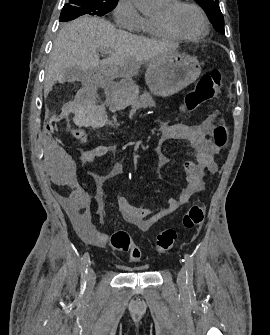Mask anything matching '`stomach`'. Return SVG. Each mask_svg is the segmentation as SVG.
<instances>
[{"mask_svg":"<svg viewBox=\"0 0 270 335\" xmlns=\"http://www.w3.org/2000/svg\"><path fill=\"white\" fill-rule=\"evenodd\" d=\"M200 74L201 64L197 56H190L188 52H168L149 60L145 82L154 96L168 98L196 82ZM120 92L124 106H129L137 98L139 88L134 82H125Z\"/></svg>","mask_w":270,"mask_h":335,"instance_id":"1","label":"stomach"}]
</instances>
